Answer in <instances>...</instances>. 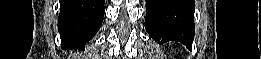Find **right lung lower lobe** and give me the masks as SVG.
<instances>
[{
    "label": "right lung lower lobe",
    "instance_id": "1",
    "mask_svg": "<svg viewBox=\"0 0 261 59\" xmlns=\"http://www.w3.org/2000/svg\"><path fill=\"white\" fill-rule=\"evenodd\" d=\"M105 0H60L58 29L64 48L84 49L104 17Z\"/></svg>",
    "mask_w": 261,
    "mask_h": 59
}]
</instances>
